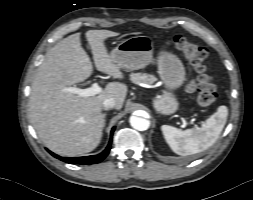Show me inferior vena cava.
I'll use <instances>...</instances> for the list:
<instances>
[{"mask_svg":"<svg viewBox=\"0 0 253 200\" xmlns=\"http://www.w3.org/2000/svg\"><path fill=\"white\" fill-rule=\"evenodd\" d=\"M116 106V102L113 98H106L102 103L103 110H110Z\"/></svg>","mask_w":253,"mask_h":200,"instance_id":"1","label":"inferior vena cava"}]
</instances>
